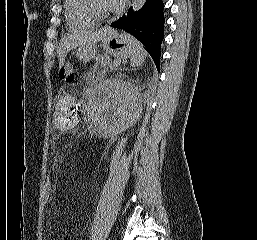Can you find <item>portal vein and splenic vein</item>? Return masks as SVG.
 I'll return each mask as SVG.
<instances>
[{"label":"portal vein and splenic vein","mask_w":257,"mask_h":240,"mask_svg":"<svg viewBox=\"0 0 257 240\" xmlns=\"http://www.w3.org/2000/svg\"><path fill=\"white\" fill-rule=\"evenodd\" d=\"M119 64H120L119 61H115V62H114V65H115V66H118Z\"/></svg>","instance_id":"obj_1"}]
</instances>
